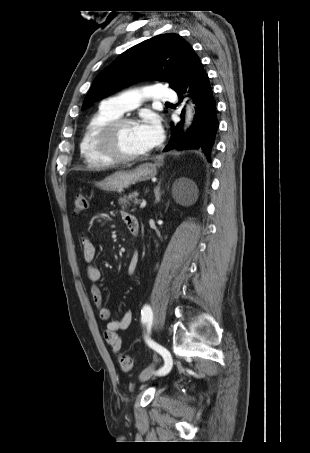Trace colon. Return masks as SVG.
I'll list each match as a JSON object with an SVG mask.
<instances>
[{"label":"colon","instance_id":"colon-1","mask_svg":"<svg viewBox=\"0 0 310 453\" xmlns=\"http://www.w3.org/2000/svg\"><path fill=\"white\" fill-rule=\"evenodd\" d=\"M88 208V199L83 194H78L74 200V211L76 213H81L86 211ZM118 363L122 370L129 371L133 368V359L126 354H119L118 355Z\"/></svg>","mask_w":310,"mask_h":453}]
</instances>
